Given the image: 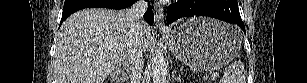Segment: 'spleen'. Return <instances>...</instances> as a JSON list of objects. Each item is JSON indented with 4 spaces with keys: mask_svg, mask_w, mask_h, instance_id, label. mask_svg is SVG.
Wrapping results in <instances>:
<instances>
[{
    "mask_svg": "<svg viewBox=\"0 0 307 83\" xmlns=\"http://www.w3.org/2000/svg\"><path fill=\"white\" fill-rule=\"evenodd\" d=\"M220 83H246L244 64L237 60L229 65L225 69Z\"/></svg>",
    "mask_w": 307,
    "mask_h": 83,
    "instance_id": "spleen-1",
    "label": "spleen"
}]
</instances>
